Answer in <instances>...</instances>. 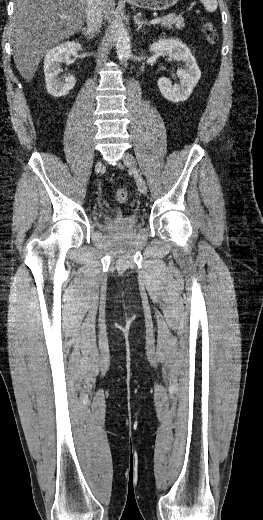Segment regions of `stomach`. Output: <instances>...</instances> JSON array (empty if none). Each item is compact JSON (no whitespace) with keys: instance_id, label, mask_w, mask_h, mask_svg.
<instances>
[{"instance_id":"stomach-1","label":"stomach","mask_w":263,"mask_h":520,"mask_svg":"<svg viewBox=\"0 0 263 520\" xmlns=\"http://www.w3.org/2000/svg\"><path fill=\"white\" fill-rule=\"evenodd\" d=\"M178 1L179 0H127L131 5L153 11L166 10L174 6Z\"/></svg>"}]
</instances>
